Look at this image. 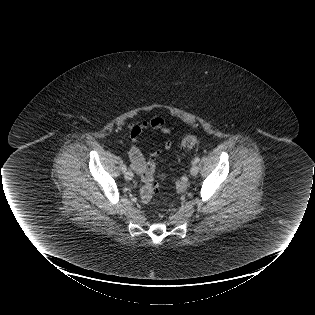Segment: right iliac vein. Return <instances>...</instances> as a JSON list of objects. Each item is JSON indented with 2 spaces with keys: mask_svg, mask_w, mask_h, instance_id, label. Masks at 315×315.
Listing matches in <instances>:
<instances>
[{
  "mask_svg": "<svg viewBox=\"0 0 315 315\" xmlns=\"http://www.w3.org/2000/svg\"><path fill=\"white\" fill-rule=\"evenodd\" d=\"M125 178H126L127 180H132V178H133V172H132L131 170H127V171L125 172Z\"/></svg>",
  "mask_w": 315,
  "mask_h": 315,
  "instance_id": "obj_1",
  "label": "right iliac vein"
}]
</instances>
